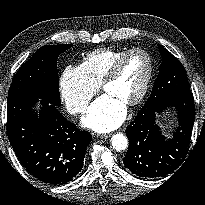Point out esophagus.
I'll list each match as a JSON object with an SVG mask.
<instances>
[{"label":"esophagus","instance_id":"34e87169","mask_svg":"<svg viewBox=\"0 0 205 205\" xmlns=\"http://www.w3.org/2000/svg\"><path fill=\"white\" fill-rule=\"evenodd\" d=\"M109 137H110V134H101V135H99V138H101V139H107Z\"/></svg>","mask_w":205,"mask_h":205}]
</instances>
